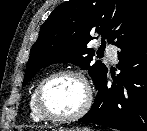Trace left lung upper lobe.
I'll return each mask as SVG.
<instances>
[{
  "mask_svg": "<svg viewBox=\"0 0 147 131\" xmlns=\"http://www.w3.org/2000/svg\"><path fill=\"white\" fill-rule=\"evenodd\" d=\"M147 29V0H70L57 6L40 28L30 52L23 86L41 68L57 62L88 70L98 89L106 78V66L90 65L94 50L90 40L102 37L121 47Z\"/></svg>",
  "mask_w": 147,
  "mask_h": 131,
  "instance_id": "obj_1",
  "label": "left lung upper lobe"
}]
</instances>
